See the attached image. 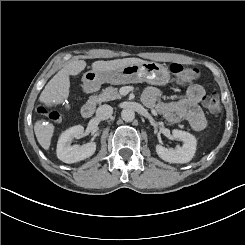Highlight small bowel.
Here are the masks:
<instances>
[{
    "instance_id": "small-bowel-1",
    "label": "small bowel",
    "mask_w": 245,
    "mask_h": 245,
    "mask_svg": "<svg viewBox=\"0 0 245 245\" xmlns=\"http://www.w3.org/2000/svg\"><path fill=\"white\" fill-rule=\"evenodd\" d=\"M205 97V90L199 84L191 85L184 98L175 102H166L159 89L148 87L143 93L146 106L155 109L161 116L171 123L187 122L195 131L203 130L207 119L199 103Z\"/></svg>"
}]
</instances>
